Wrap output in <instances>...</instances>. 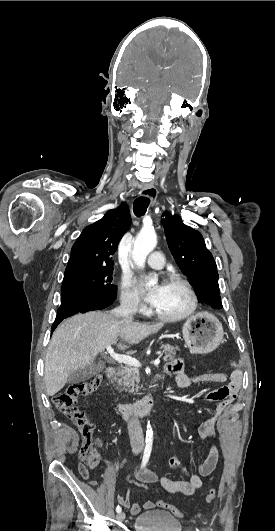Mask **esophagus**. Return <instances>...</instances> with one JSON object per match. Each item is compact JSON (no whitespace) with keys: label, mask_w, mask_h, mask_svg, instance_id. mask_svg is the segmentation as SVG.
Returning a JSON list of instances; mask_svg holds the SVG:
<instances>
[{"label":"esophagus","mask_w":275,"mask_h":531,"mask_svg":"<svg viewBox=\"0 0 275 531\" xmlns=\"http://www.w3.org/2000/svg\"><path fill=\"white\" fill-rule=\"evenodd\" d=\"M140 194L141 196L149 198L151 200V204L154 205L156 203L158 190L154 186L148 184L142 188Z\"/></svg>","instance_id":"obj_1"}]
</instances>
